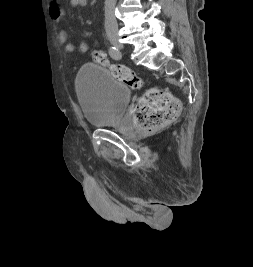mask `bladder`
<instances>
[{"label":"bladder","instance_id":"1","mask_svg":"<svg viewBox=\"0 0 253 267\" xmlns=\"http://www.w3.org/2000/svg\"><path fill=\"white\" fill-rule=\"evenodd\" d=\"M76 90L86 122L94 127L115 123L131 101V89L106 68L84 65L76 79Z\"/></svg>","mask_w":253,"mask_h":267}]
</instances>
